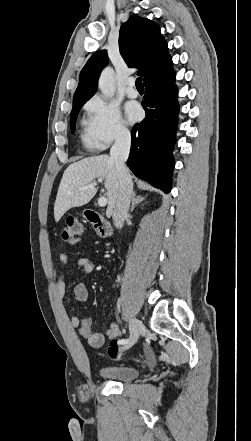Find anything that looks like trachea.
Listing matches in <instances>:
<instances>
[{
	"label": "trachea",
	"instance_id": "trachea-1",
	"mask_svg": "<svg viewBox=\"0 0 251 441\" xmlns=\"http://www.w3.org/2000/svg\"><path fill=\"white\" fill-rule=\"evenodd\" d=\"M136 87H143V83H142V77H138L136 79Z\"/></svg>",
	"mask_w": 251,
	"mask_h": 441
}]
</instances>
